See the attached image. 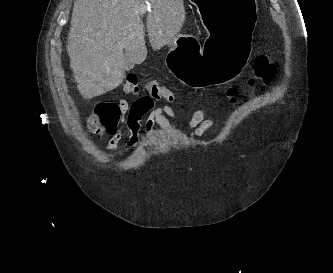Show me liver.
I'll return each mask as SVG.
<instances>
[{
    "instance_id": "1",
    "label": "liver",
    "mask_w": 333,
    "mask_h": 273,
    "mask_svg": "<svg viewBox=\"0 0 333 273\" xmlns=\"http://www.w3.org/2000/svg\"><path fill=\"white\" fill-rule=\"evenodd\" d=\"M150 6L146 27L153 50L169 44L185 22L183 0H76L67 52L84 99L117 88L125 78V52L141 64L147 57L138 10Z\"/></svg>"
}]
</instances>
